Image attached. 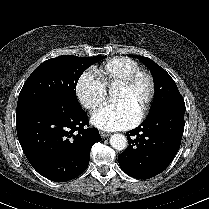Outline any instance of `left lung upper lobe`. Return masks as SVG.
<instances>
[{
	"instance_id": "5c2ea615",
	"label": "left lung upper lobe",
	"mask_w": 209,
	"mask_h": 209,
	"mask_svg": "<svg viewBox=\"0 0 209 209\" xmlns=\"http://www.w3.org/2000/svg\"><path fill=\"white\" fill-rule=\"evenodd\" d=\"M138 57V56H134ZM150 69L154 85L155 95L148 115L157 110L175 105H185L184 100L171 76L158 64L147 57H138Z\"/></svg>"
}]
</instances>
